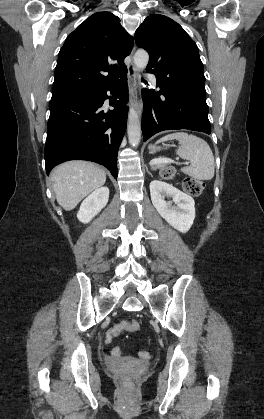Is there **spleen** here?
I'll list each match as a JSON object with an SVG mask.
<instances>
[{
    "label": "spleen",
    "instance_id": "3e777b00",
    "mask_svg": "<svg viewBox=\"0 0 264 419\" xmlns=\"http://www.w3.org/2000/svg\"><path fill=\"white\" fill-rule=\"evenodd\" d=\"M167 140L179 141L176 154L190 161V165L181 171L196 180H211L215 173V161L212 150L205 140L186 132L168 134L158 142Z\"/></svg>",
    "mask_w": 264,
    "mask_h": 419
}]
</instances>
